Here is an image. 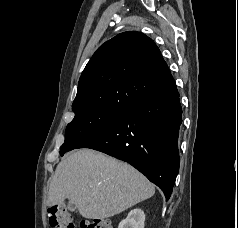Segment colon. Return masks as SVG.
Listing matches in <instances>:
<instances>
[{
  "label": "colon",
  "mask_w": 238,
  "mask_h": 228,
  "mask_svg": "<svg viewBox=\"0 0 238 228\" xmlns=\"http://www.w3.org/2000/svg\"><path fill=\"white\" fill-rule=\"evenodd\" d=\"M49 224L52 228H75L73 216L65 205L56 204L48 209ZM81 228H112L109 220L94 219L83 221Z\"/></svg>",
  "instance_id": "1"
}]
</instances>
